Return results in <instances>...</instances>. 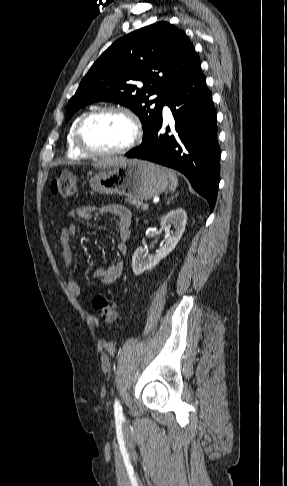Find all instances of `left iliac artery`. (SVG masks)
I'll use <instances>...</instances> for the list:
<instances>
[{"label":"left iliac artery","mask_w":287,"mask_h":486,"mask_svg":"<svg viewBox=\"0 0 287 486\" xmlns=\"http://www.w3.org/2000/svg\"><path fill=\"white\" fill-rule=\"evenodd\" d=\"M114 413L115 417L122 418L123 413H122V407L120 405V402L116 399L114 403Z\"/></svg>","instance_id":"obj_1"}]
</instances>
